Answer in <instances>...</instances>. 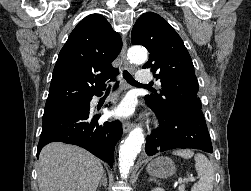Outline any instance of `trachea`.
Segmentation results:
<instances>
[{
  "label": "trachea",
  "mask_w": 251,
  "mask_h": 191,
  "mask_svg": "<svg viewBox=\"0 0 251 191\" xmlns=\"http://www.w3.org/2000/svg\"><path fill=\"white\" fill-rule=\"evenodd\" d=\"M123 77L125 78L127 83H129L132 86L152 88V85H143V83H139L138 81H136L133 78V76H131L130 73L128 71H126V70L123 71ZM108 89H110V86H109Z\"/></svg>",
  "instance_id": "trachea-1"
}]
</instances>
